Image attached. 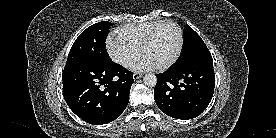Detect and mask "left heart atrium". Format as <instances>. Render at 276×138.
I'll return each mask as SVG.
<instances>
[{
    "mask_svg": "<svg viewBox=\"0 0 276 138\" xmlns=\"http://www.w3.org/2000/svg\"><path fill=\"white\" fill-rule=\"evenodd\" d=\"M157 67L158 66L156 65V63L151 58H149L144 54L140 58H138L133 64V69L137 71L152 70Z\"/></svg>",
    "mask_w": 276,
    "mask_h": 138,
    "instance_id": "39dd6f15",
    "label": "left heart atrium"
}]
</instances>
